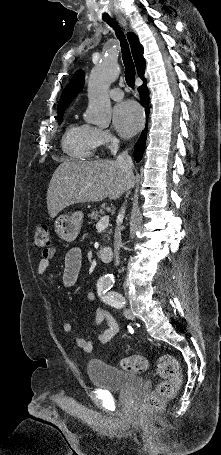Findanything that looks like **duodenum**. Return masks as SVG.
Segmentation results:
<instances>
[{
	"mask_svg": "<svg viewBox=\"0 0 221 455\" xmlns=\"http://www.w3.org/2000/svg\"><path fill=\"white\" fill-rule=\"evenodd\" d=\"M99 257L100 259L105 262V263H109L112 261V258H113V252H112V249L110 247H102L99 251Z\"/></svg>",
	"mask_w": 221,
	"mask_h": 455,
	"instance_id": "obj_1",
	"label": "duodenum"
}]
</instances>
